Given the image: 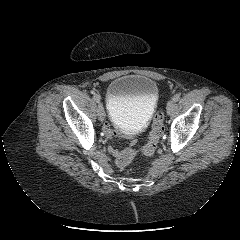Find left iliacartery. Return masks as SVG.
I'll list each match as a JSON object with an SVG mask.
<instances>
[{
	"instance_id": "44dca946",
	"label": "left iliac artery",
	"mask_w": 240,
	"mask_h": 240,
	"mask_svg": "<svg viewBox=\"0 0 240 240\" xmlns=\"http://www.w3.org/2000/svg\"><path fill=\"white\" fill-rule=\"evenodd\" d=\"M180 96H181V94H180V93H177V94H175V95L172 97V100H173L174 102H177V101H179Z\"/></svg>"
}]
</instances>
